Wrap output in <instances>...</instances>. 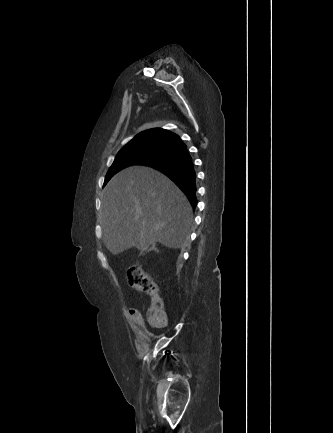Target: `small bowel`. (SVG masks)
Here are the masks:
<instances>
[{
    "label": "small bowel",
    "mask_w": 333,
    "mask_h": 433,
    "mask_svg": "<svg viewBox=\"0 0 333 433\" xmlns=\"http://www.w3.org/2000/svg\"><path fill=\"white\" fill-rule=\"evenodd\" d=\"M128 317L131 325L136 329L138 334L142 338L147 339L149 337V331L145 327L144 320L140 311L136 308H129Z\"/></svg>",
    "instance_id": "obj_1"
}]
</instances>
